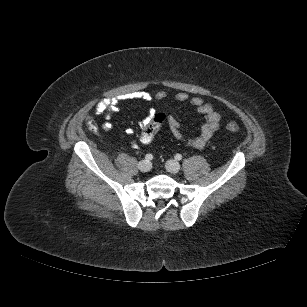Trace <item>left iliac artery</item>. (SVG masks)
Wrapping results in <instances>:
<instances>
[{"mask_svg":"<svg viewBox=\"0 0 307 307\" xmlns=\"http://www.w3.org/2000/svg\"><path fill=\"white\" fill-rule=\"evenodd\" d=\"M175 159L180 161L182 159V155L181 154H176L175 155Z\"/></svg>","mask_w":307,"mask_h":307,"instance_id":"1","label":"left iliac artery"}]
</instances>
